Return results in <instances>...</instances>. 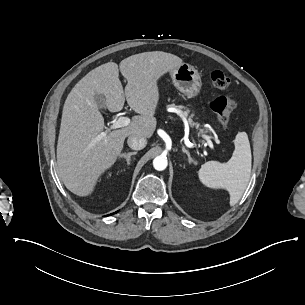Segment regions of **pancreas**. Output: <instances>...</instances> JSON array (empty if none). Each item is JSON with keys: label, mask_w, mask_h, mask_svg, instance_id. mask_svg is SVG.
I'll return each mask as SVG.
<instances>
[{"label": "pancreas", "mask_w": 305, "mask_h": 305, "mask_svg": "<svg viewBox=\"0 0 305 305\" xmlns=\"http://www.w3.org/2000/svg\"><path fill=\"white\" fill-rule=\"evenodd\" d=\"M168 108H175L177 110H182L184 109L185 111H182V114L185 116V117H188L189 113H190V110L187 109L185 106H182V105H175V104H171V105H167ZM194 117V114H191L189 117H188V123L191 127H196L197 129L199 128L200 124L197 123V122H194L192 120V118ZM201 132H209V128H205V129H200Z\"/></svg>", "instance_id": "obj_1"}]
</instances>
